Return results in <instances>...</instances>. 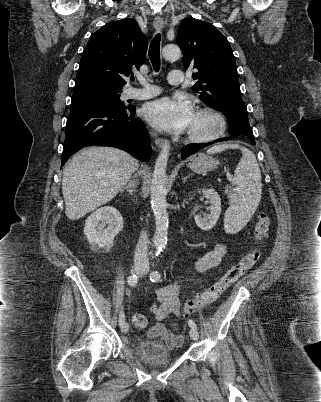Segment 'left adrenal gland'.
Listing matches in <instances>:
<instances>
[{"instance_id": "1", "label": "left adrenal gland", "mask_w": 321, "mask_h": 402, "mask_svg": "<svg viewBox=\"0 0 321 402\" xmlns=\"http://www.w3.org/2000/svg\"><path fill=\"white\" fill-rule=\"evenodd\" d=\"M189 176H190V175H189ZM189 176L183 177V178H182V181L185 182L186 179H187Z\"/></svg>"}]
</instances>
